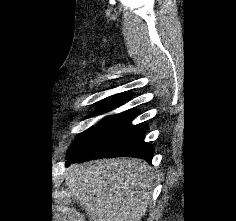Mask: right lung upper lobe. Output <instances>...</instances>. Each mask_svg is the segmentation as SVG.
I'll list each match as a JSON object with an SVG mask.
<instances>
[{
  "mask_svg": "<svg viewBox=\"0 0 236 221\" xmlns=\"http://www.w3.org/2000/svg\"><path fill=\"white\" fill-rule=\"evenodd\" d=\"M120 94H131L130 92H124V93H120Z\"/></svg>",
  "mask_w": 236,
  "mask_h": 221,
  "instance_id": "right-lung-upper-lobe-1",
  "label": "right lung upper lobe"
}]
</instances>
